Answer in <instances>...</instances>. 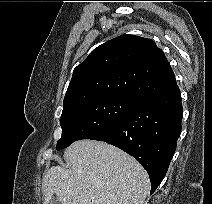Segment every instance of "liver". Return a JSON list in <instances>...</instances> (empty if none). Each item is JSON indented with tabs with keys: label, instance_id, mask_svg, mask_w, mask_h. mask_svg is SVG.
Masks as SVG:
<instances>
[{
	"label": "liver",
	"instance_id": "1",
	"mask_svg": "<svg viewBox=\"0 0 212 204\" xmlns=\"http://www.w3.org/2000/svg\"><path fill=\"white\" fill-rule=\"evenodd\" d=\"M67 167L53 166L42 182L43 204H143L150 180L141 164L121 149L79 140L64 152Z\"/></svg>",
	"mask_w": 212,
	"mask_h": 204
}]
</instances>
